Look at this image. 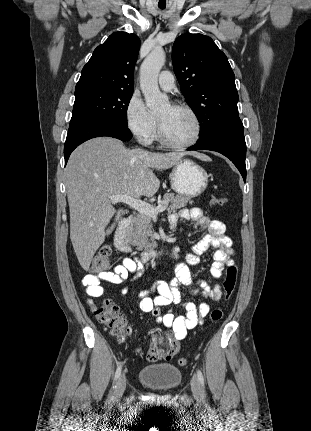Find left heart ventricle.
Instances as JSON below:
<instances>
[{
	"label": "left heart ventricle",
	"instance_id": "left-heart-ventricle-1",
	"mask_svg": "<svg viewBox=\"0 0 311 431\" xmlns=\"http://www.w3.org/2000/svg\"><path fill=\"white\" fill-rule=\"evenodd\" d=\"M157 117L161 120L166 137L178 143L192 141L197 134V122L187 111L173 106L164 107Z\"/></svg>",
	"mask_w": 311,
	"mask_h": 431
}]
</instances>
